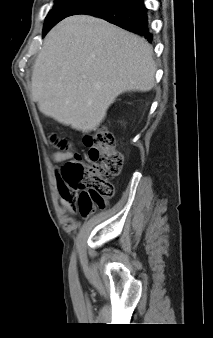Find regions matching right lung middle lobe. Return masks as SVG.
I'll use <instances>...</instances> for the list:
<instances>
[{"label":"right lung middle lobe","instance_id":"dd1d6c3e","mask_svg":"<svg viewBox=\"0 0 213 338\" xmlns=\"http://www.w3.org/2000/svg\"><path fill=\"white\" fill-rule=\"evenodd\" d=\"M92 0H55L53 9L48 13L44 29L43 36L56 25L59 21L70 16L78 7L89 3Z\"/></svg>","mask_w":213,"mask_h":338}]
</instances>
